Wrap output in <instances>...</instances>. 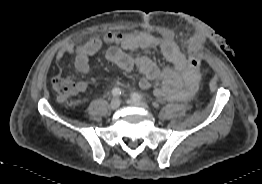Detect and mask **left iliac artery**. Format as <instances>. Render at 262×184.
Returning a JSON list of instances; mask_svg holds the SVG:
<instances>
[{
  "label": "left iliac artery",
  "mask_w": 262,
  "mask_h": 184,
  "mask_svg": "<svg viewBox=\"0 0 262 184\" xmlns=\"http://www.w3.org/2000/svg\"><path fill=\"white\" fill-rule=\"evenodd\" d=\"M131 98L134 99V100H142L143 99V96L139 93H133L131 95Z\"/></svg>",
  "instance_id": "obj_1"
}]
</instances>
